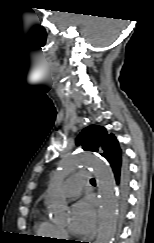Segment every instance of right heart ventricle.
<instances>
[{"mask_svg": "<svg viewBox=\"0 0 154 243\" xmlns=\"http://www.w3.org/2000/svg\"><path fill=\"white\" fill-rule=\"evenodd\" d=\"M36 232L39 236L51 240H57L63 236L60 226L52 222L44 215H40L38 218Z\"/></svg>", "mask_w": 154, "mask_h": 243, "instance_id": "1", "label": "right heart ventricle"}]
</instances>
